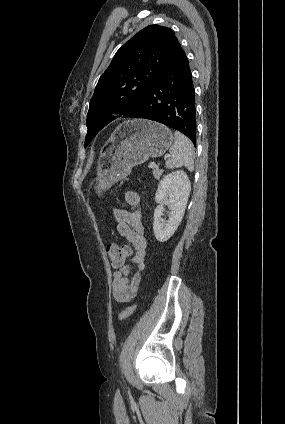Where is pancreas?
<instances>
[{"instance_id": "1", "label": "pancreas", "mask_w": 285, "mask_h": 424, "mask_svg": "<svg viewBox=\"0 0 285 424\" xmlns=\"http://www.w3.org/2000/svg\"><path fill=\"white\" fill-rule=\"evenodd\" d=\"M163 171L158 169V168H154L153 170V175L156 179H159L162 175Z\"/></svg>"}]
</instances>
